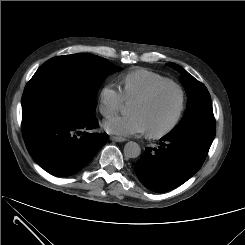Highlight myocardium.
Returning <instances> with one entry per match:
<instances>
[{"label":"myocardium","mask_w":245,"mask_h":245,"mask_svg":"<svg viewBox=\"0 0 245 245\" xmlns=\"http://www.w3.org/2000/svg\"><path fill=\"white\" fill-rule=\"evenodd\" d=\"M175 90L178 94V107L176 109V112L170 121V123L165 126L164 128L156 131L147 130V135L150 138L158 139L162 138L168 134H170L179 124L181 121V118L183 116L184 110H185V103H186V97L185 92L183 88L178 85L177 83L171 82V83H165L161 85H157L153 87L151 90H149L147 93L133 99L131 102H138V103H146L151 100H153L155 97H157L160 93H162L165 90Z\"/></svg>","instance_id":"myocardium-1"}]
</instances>
